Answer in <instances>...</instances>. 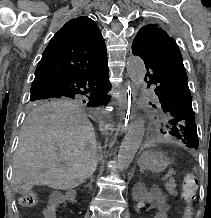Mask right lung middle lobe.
<instances>
[{
	"instance_id": "right-lung-middle-lobe-1",
	"label": "right lung middle lobe",
	"mask_w": 211,
	"mask_h": 218,
	"mask_svg": "<svg viewBox=\"0 0 211 218\" xmlns=\"http://www.w3.org/2000/svg\"><path fill=\"white\" fill-rule=\"evenodd\" d=\"M32 92L34 89L31 90ZM109 102L107 98L93 97L89 99H82L80 97H61L53 96L42 99H31L29 102L30 109H48L66 106H80V107H98L106 105Z\"/></svg>"
}]
</instances>
